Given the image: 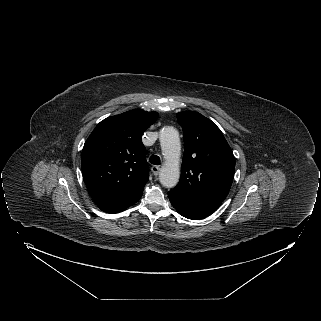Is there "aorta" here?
I'll return each mask as SVG.
<instances>
[{
  "mask_svg": "<svg viewBox=\"0 0 321 321\" xmlns=\"http://www.w3.org/2000/svg\"><path fill=\"white\" fill-rule=\"evenodd\" d=\"M159 140L165 160L160 169L159 180L164 187L173 188L180 178L179 158L181 145L179 133L174 127L166 126L161 129Z\"/></svg>",
  "mask_w": 321,
  "mask_h": 321,
  "instance_id": "762f6f07",
  "label": "aorta"
}]
</instances>
